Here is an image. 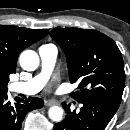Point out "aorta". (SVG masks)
<instances>
[{"mask_svg":"<svg viewBox=\"0 0 130 130\" xmlns=\"http://www.w3.org/2000/svg\"><path fill=\"white\" fill-rule=\"evenodd\" d=\"M19 62L24 70L34 71L38 68L40 59L35 51L25 50L21 53ZM63 112L61 107L52 106L48 111V115L52 121L60 122L63 119Z\"/></svg>","mask_w":130,"mask_h":130,"instance_id":"762f6f07","label":"aorta"}]
</instances>
